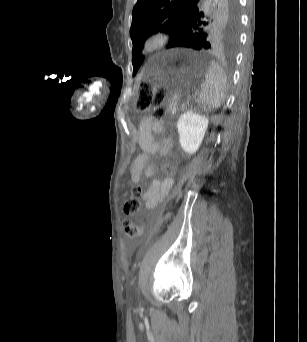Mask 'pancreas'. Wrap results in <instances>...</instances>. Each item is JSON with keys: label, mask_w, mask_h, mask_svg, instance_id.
<instances>
[{"label": "pancreas", "mask_w": 307, "mask_h": 342, "mask_svg": "<svg viewBox=\"0 0 307 342\" xmlns=\"http://www.w3.org/2000/svg\"><path fill=\"white\" fill-rule=\"evenodd\" d=\"M169 107H170L169 110L172 112L173 110H176L178 106L176 103H171Z\"/></svg>", "instance_id": "cf45deb5"}]
</instances>
